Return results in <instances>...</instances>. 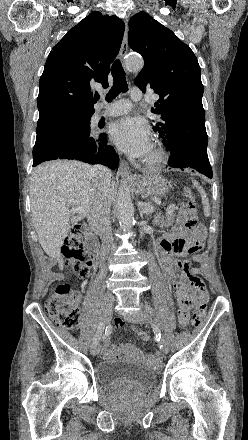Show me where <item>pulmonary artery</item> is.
I'll return each mask as SVG.
<instances>
[{"label": "pulmonary artery", "mask_w": 248, "mask_h": 440, "mask_svg": "<svg viewBox=\"0 0 248 440\" xmlns=\"http://www.w3.org/2000/svg\"><path fill=\"white\" fill-rule=\"evenodd\" d=\"M142 91L139 88H134L131 91V99L133 101H139L142 99ZM105 110L103 112H97L93 115L92 121L94 123L99 122L102 118L119 116L127 113L131 109V102L123 99L110 105H104Z\"/></svg>", "instance_id": "e3ab8cb5"}]
</instances>
